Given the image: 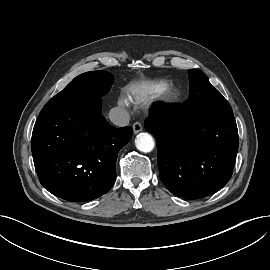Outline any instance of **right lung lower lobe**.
<instances>
[{
    "label": "right lung lower lobe",
    "instance_id": "obj_1",
    "mask_svg": "<svg viewBox=\"0 0 270 270\" xmlns=\"http://www.w3.org/2000/svg\"><path fill=\"white\" fill-rule=\"evenodd\" d=\"M131 127L115 128L101 115V100L41 111L32 155L41 184L67 201L87 202L107 193L116 179L119 150Z\"/></svg>",
    "mask_w": 270,
    "mask_h": 270
}]
</instances>
